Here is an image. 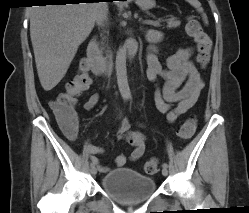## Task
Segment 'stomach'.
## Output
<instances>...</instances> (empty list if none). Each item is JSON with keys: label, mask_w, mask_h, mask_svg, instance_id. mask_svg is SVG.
<instances>
[{"label": "stomach", "mask_w": 249, "mask_h": 213, "mask_svg": "<svg viewBox=\"0 0 249 213\" xmlns=\"http://www.w3.org/2000/svg\"><path fill=\"white\" fill-rule=\"evenodd\" d=\"M136 4L143 9H149L155 5V2L154 0H136Z\"/></svg>", "instance_id": "0dacf381"}]
</instances>
